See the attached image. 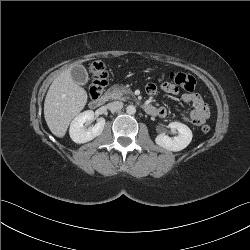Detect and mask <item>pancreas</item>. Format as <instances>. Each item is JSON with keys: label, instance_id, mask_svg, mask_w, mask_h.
Returning a JSON list of instances; mask_svg holds the SVG:
<instances>
[{"label": "pancreas", "instance_id": "obj_1", "mask_svg": "<svg viewBox=\"0 0 250 250\" xmlns=\"http://www.w3.org/2000/svg\"><path fill=\"white\" fill-rule=\"evenodd\" d=\"M131 94L132 92L130 90H127L119 85L112 86L107 92L110 99L123 101L128 100Z\"/></svg>", "mask_w": 250, "mask_h": 250}]
</instances>
